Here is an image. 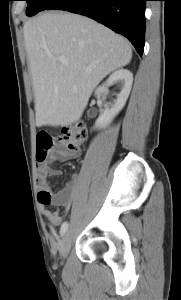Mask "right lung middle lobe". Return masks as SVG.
I'll use <instances>...</instances> for the list:
<instances>
[{
    "instance_id": "right-lung-middle-lobe-1",
    "label": "right lung middle lobe",
    "mask_w": 181,
    "mask_h": 300,
    "mask_svg": "<svg viewBox=\"0 0 181 300\" xmlns=\"http://www.w3.org/2000/svg\"><path fill=\"white\" fill-rule=\"evenodd\" d=\"M27 1V12L28 16H33L40 11L48 10L57 0H26Z\"/></svg>"
}]
</instances>
